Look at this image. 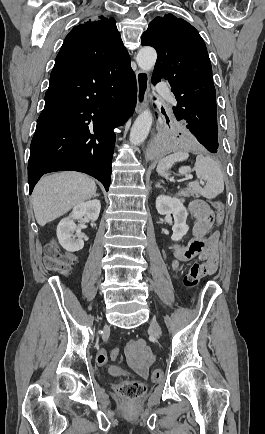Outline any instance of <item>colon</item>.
<instances>
[{"label":"colon","mask_w":265,"mask_h":434,"mask_svg":"<svg viewBox=\"0 0 265 434\" xmlns=\"http://www.w3.org/2000/svg\"><path fill=\"white\" fill-rule=\"evenodd\" d=\"M213 208L215 209L214 218L217 224H221L225 216L224 204L221 200L216 199L212 202ZM70 265V259L67 255H63L59 252L58 248L54 245H49L45 248V260L44 266L50 271H55L56 273H65ZM201 262L195 261L191 263L188 273L185 274L183 278L184 285L192 289L201 278H198V269H201ZM97 363L100 366L107 364L108 355L106 351L101 350L96 357ZM163 372L160 369H155L151 372V379L153 381H160L162 379ZM120 393L127 396L128 402H133L134 397L140 396L146 389L145 382L137 381H124L117 386Z\"/></svg>","instance_id":"1"}]
</instances>
